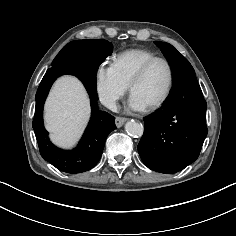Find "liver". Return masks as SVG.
Here are the masks:
<instances>
[{
	"instance_id": "1",
	"label": "liver",
	"mask_w": 236,
	"mask_h": 236,
	"mask_svg": "<svg viewBox=\"0 0 236 236\" xmlns=\"http://www.w3.org/2000/svg\"><path fill=\"white\" fill-rule=\"evenodd\" d=\"M44 110L52 141L69 148L79 139L88 122L90 102L81 82L75 77L64 76L53 85Z\"/></svg>"
}]
</instances>
